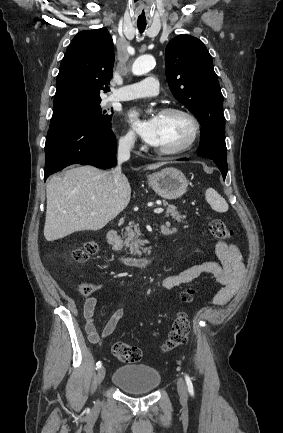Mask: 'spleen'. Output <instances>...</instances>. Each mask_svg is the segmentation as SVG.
Here are the masks:
<instances>
[{
    "label": "spleen",
    "mask_w": 283,
    "mask_h": 433,
    "mask_svg": "<svg viewBox=\"0 0 283 433\" xmlns=\"http://www.w3.org/2000/svg\"><path fill=\"white\" fill-rule=\"evenodd\" d=\"M205 196L213 210H217V212H226L228 210L225 198H222L214 188H207Z\"/></svg>",
    "instance_id": "1"
}]
</instances>
